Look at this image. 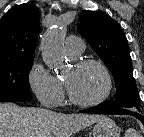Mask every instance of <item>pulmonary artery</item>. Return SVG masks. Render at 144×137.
<instances>
[{
  "instance_id": "1",
  "label": "pulmonary artery",
  "mask_w": 144,
  "mask_h": 137,
  "mask_svg": "<svg viewBox=\"0 0 144 137\" xmlns=\"http://www.w3.org/2000/svg\"><path fill=\"white\" fill-rule=\"evenodd\" d=\"M84 43L77 36H69L65 40L66 53L71 57L80 55L83 51Z\"/></svg>"
}]
</instances>
